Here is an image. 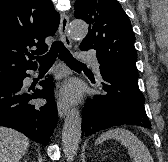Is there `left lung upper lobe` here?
<instances>
[{
	"label": "left lung upper lobe",
	"instance_id": "5c2ea615",
	"mask_svg": "<svg viewBox=\"0 0 168 162\" xmlns=\"http://www.w3.org/2000/svg\"><path fill=\"white\" fill-rule=\"evenodd\" d=\"M75 17L89 25L81 50L94 49L100 66L138 78L135 35L116 0H76Z\"/></svg>",
	"mask_w": 168,
	"mask_h": 162
}]
</instances>
